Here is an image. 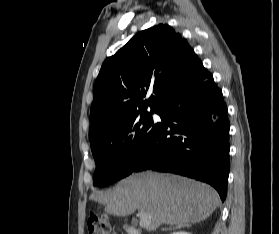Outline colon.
<instances>
[{
	"mask_svg": "<svg viewBox=\"0 0 279 234\" xmlns=\"http://www.w3.org/2000/svg\"><path fill=\"white\" fill-rule=\"evenodd\" d=\"M110 224L107 217L92 214L87 221V234H109Z\"/></svg>",
	"mask_w": 279,
	"mask_h": 234,
	"instance_id": "5ec220e1",
	"label": "colon"
}]
</instances>
